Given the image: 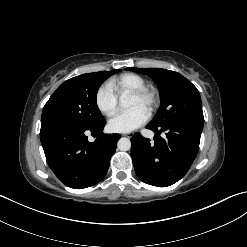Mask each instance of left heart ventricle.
I'll use <instances>...</instances> for the list:
<instances>
[{
	"label": "left heart ventricle",
	"mask_w": 247,
	"mask_h": 247,
	"mask_svg": "<svg viewBox=\"0 0 247 247\" xmlns=\"http://www.w3.org/2000/svg\"><path fill=\"white\" fill-rule=\"evenodd\" d=\"M136 106L141 107V108L146 110V105H145V103L143 101H141V100H139V99H137L135 97L130 96L129 99H128V107L129 108H133V107H136Z\"/></svg>",
	"instance_id": "1"
}]
</instances>
